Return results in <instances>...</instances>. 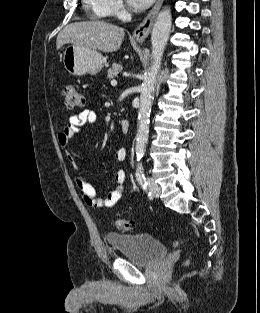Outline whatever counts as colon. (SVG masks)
I'll list each match as a JSON object with an SVG mask.
<instances>
[{
    "mask_svg": "<svg viewBox=\"0 0 260 313\" xmlns=\"http://www.w3.org/2000/svg\"><path fill=\"white\" fill-rule=\"evenodd\" d=\"M63 101L67 109H75L83 105V96L74 84H65L63 86ZM116 229L122 233L135 232V223L125 219L117 218L114 221ZM190 264V259L184 261V267Z\"/></svg>",
    "mask_w": 260,
    "mask_h": 313,
    "instance_id": "obj_1",
    "label": "colon"
}]
</instances>
